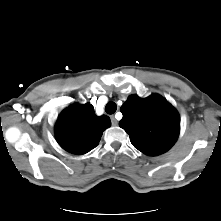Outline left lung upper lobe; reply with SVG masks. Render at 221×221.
<instances>
[{
	"instance_id": "1",
	"label": "left lung upper lobe",
	"mask_w": 221,
	"mask_h": 221,
	"mask_svg": "<svg viewBox=\"0 0 221 221\" xmlns=\"http://www.w3.org/2000/svg\"><path fill=\"white\" fill-rule=\"evenodd\" d=\"M120 110V127L142 153L157 156L175 144L180 131L179 114L162 96L153 94L142 99L131 95Z\"/></svg>"
}]
</instances>
